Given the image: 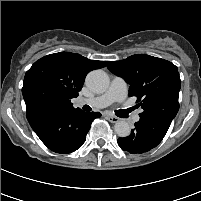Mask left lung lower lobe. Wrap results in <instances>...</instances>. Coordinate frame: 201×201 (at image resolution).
<instances>
[{
  "mask_svg": "<svg viewBox=\"0 0 201 201\" xmlns=\"http://www.w3.org/2000/svg\"><path fill=\"white\" fill-rule=\"evenodd\" d=\"M171 122L161 117L140 118L128 137L118 138V145L131 154L148 152L162 141Z\"/></svg>",
  "mask_w": 201,
  "mask_h": 201,
  "instance_id": "0a47b994",
  "label": "left lung lower lobe"
}]
</instances>
